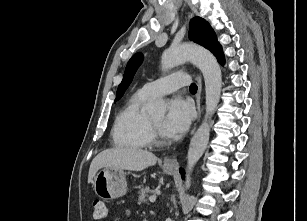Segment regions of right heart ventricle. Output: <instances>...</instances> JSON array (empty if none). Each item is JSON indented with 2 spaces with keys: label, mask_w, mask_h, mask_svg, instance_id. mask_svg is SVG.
Segmentation results:
<instances>
[{
  "label": "right heart ventricle",
  "mask_w": 307,
  "mask_h": 221,
  "mask_svg": "<svg viewBox=\"0 0 307 221\" xmlns=\"http://www.w3.org/2000/svg\"><path fill=\"white\" fill-rule=\"evenodd\" d=\"M151 99L139 90L119 112L112 128V140L116 147L142 149L149 146L150 116L145 105Z\"/></svg>",
  "instance_id": "1"
}]
</instances>
